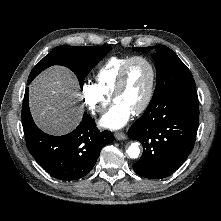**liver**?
I'll return each mask as SVG.
<instances>
[{
  "label": "liver",
  "mask_w": 221,
  "mask_h": 221,
  "mask_svg": "<svg viewBox=\"0 0 221 221\" xmlns=\"http://www.w3.org/2000/svg\"><path fill=\"white\" fill-rule=\"evenodd\" d=\"M74 75L61 66L43 71L29 86V105L37 126L52 135L71 132L80 122Z\"/></svg>",
  "instance_id": "obj_1"
}]
</instances>
